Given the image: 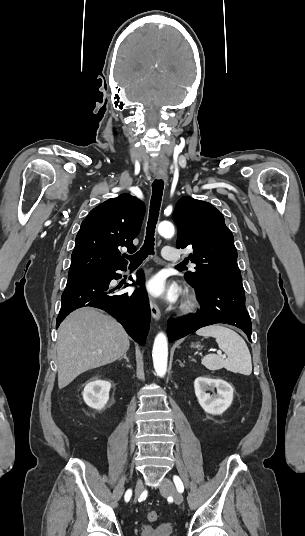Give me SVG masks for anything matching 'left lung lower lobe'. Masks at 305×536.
Wrapping results in <instances>:
<instances>
[{
	"label": "left lung lower lobe",
	"mask_w": 305,
	"mask_h": 536,
	"mask_svg": "<svg viewBox=\"0 0 305 536\" xmlns=\"http://www.w3.org/2000/svg\"><path fill=\"white\" fill-rule=\"evenodd\" d=\"M201 309L194 315L169 319V341L180 339L201 327L226 323L241 328L251 342L252 325L245 308V293L241 286L213 285L196 287Z\"/></svg>",
	"instance_id": "left-lung-lower-lobe-1"
}]
</instances>
